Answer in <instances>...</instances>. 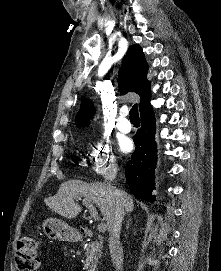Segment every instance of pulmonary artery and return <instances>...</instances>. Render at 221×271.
<instances>
[{
    "label": "pulmonary artery",
    "mask_w": 221,
    "mask_h": 271,
    "mask_svg": "<svg viewBox=\"0 0 221 271\" xmlns=\"http://www.w3.org/2000/svg\"><path fill=\"white\" fill-rule=\"evenodd\" d=\"M116 121H114V126H118V129L123 133L130 132V129L124 128L122 126H130L129 117H126V112H115Z\"/></svg>",
    "instance_id": "e3ab8cb5"
}]
</instances>
